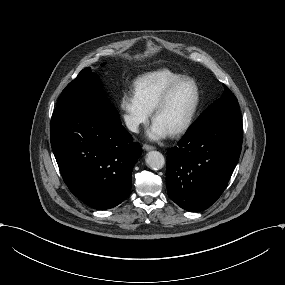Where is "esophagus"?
Returning <instances> with one entry per match:
<instances>
[{
  "mask_svg": "<svg viewBox=\"0 0 285 285\" xmlns=\"http://www.w3.org/2000/svg\"><path fill=\"white\" fill-rule=\"evenodd\" d=\"M143 149L144 150H153V149H155V147L152 145H149V144H144Z\"/></svg>",
  "mask_w": 285,
  "mask_h": 285,
  "instance_id": "obj_1",
  "label": "esophagus"
}]
</instances>
